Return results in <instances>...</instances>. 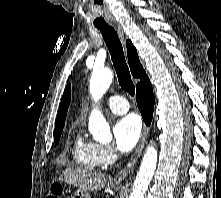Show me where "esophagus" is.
<instances>
[{"instance_id": "34e87169", "label": "esophagus", "mask_w": 221, "mask_h": 198, "mask_svg": "<svg viewBox=\"0 0 221 198\" xmlns=\"http://www.w3.org/2000/svg\"><path fill=\"white\" fill-rule=\"evenodd\" d=\"M113 27L118 32V34L122 38V40H124V31H123L122 27L119 24H114ZM147 137H148V129H147V127H144L143 132L141 134V138L139 140V143L137 145V148H136L134 154L132 155V157L129 160V162L127 163V165L121 171H119L117 173V175L114 177L115 182H121V181L125 180L128 177V175H130V173L133 171L139 157L142 154Z\"/></svg>"}]
</instances>
